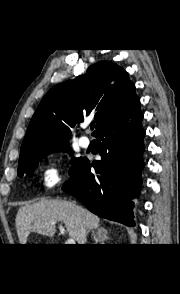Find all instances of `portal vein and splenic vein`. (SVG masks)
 Instances as JSON below:
<instances>
[{"label": "portal vein and splenic vein", "instance_id": "1", "mask_svg": "<svg viewBox=\"0 0 180 294\" xmlns=\"http://www.w3.org/2000/svg\"><path fill=\"white\" fill-rule=\"evenodd\" d=\"M59 230H60L61 234H63V235L65 234V229L61 225L59 226ZM66 244L74 245L75 244V240L72 239V238L67 239L66 240Z\"/></svg>", "mask_w": 180, "mask_h": 294}]
</instances>
